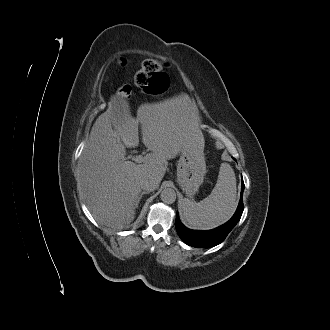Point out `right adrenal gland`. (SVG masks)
Returning <instances> with one entry per match:
<instances>
[{"mask_svg":"<svg viewBox=\"0 0 330 330\" xmlns=\"http://www.w3.org/2000/svg\"><path fill=\"white\" fill-rule=\"evenodd\" d=\"M144 194H148V192L143 191V192L139 195V197H138V199H137V201H136V203H135V208H138V205H139V203H140V201H141V199H142V197H143Z\"/></svg>","mask_w":330,"mask_h":330,"instance_id":"1","label":"right adrenal gland"}]
</instances>
